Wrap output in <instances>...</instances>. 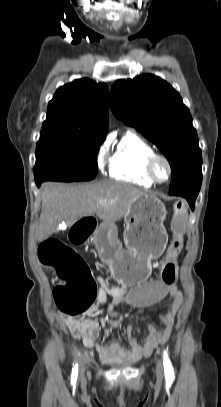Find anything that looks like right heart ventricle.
<instances>
[{
  "label": "right heart ventricle",
  "mask_w": 221,
  "mask_h": 407,
  "mask_svg": "<svg viewBox=\"0 0 221 407\" xmlns=\"http://www.w3.org/2000/svg\"><path fill=\"white\" fill-rule=\"evenodd\" d=\"M155 154L153 147L133 132H127L110 158L109 174L115 180L151 187L154 182L146 173V163Z\"/></svg>",
  "instance_id": "right-heart-ventricle-1"
}]
</instances>
